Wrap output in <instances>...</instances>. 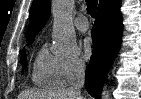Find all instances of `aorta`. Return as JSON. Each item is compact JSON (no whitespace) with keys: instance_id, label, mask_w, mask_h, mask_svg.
<instances>
[{"instance_id":"obj_1","label":"aorta","mask_w":141,"mask_h":99,"mask_svg":"<svg viewBox=\"0 0 141 99\" xmlns=\"http://www.w3.org/2000/svg\"><path fill=\"white\" fill-rule=\"evenodd\" d=\"M74 0H53V41L57 53L70 56L77 51L76 34L72 23ZM102 99H110L109 91L103 89Z\"/></svg>"}]
</instances>
